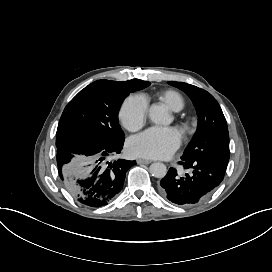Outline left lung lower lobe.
<instances>
[{
	"instance_id": "0a47b994",
	"label": "left lung lower lobe",
	"mask_w": 272,
	"mask_h": 272,
	"mask_svg": "<svg viewBox=\"0 0 272 272\" xmlns=\"http://www.w3.org/2000/svg\"><path fill=\"white\" fill-rule=\"evenodd\" d=\"M185 168H193V175L179 178L170 168L160 181V193L171 202L190 206L200 202L223 180L227 164L212 159H192L180 162Z\"/></svg>"
}]
</instances>
